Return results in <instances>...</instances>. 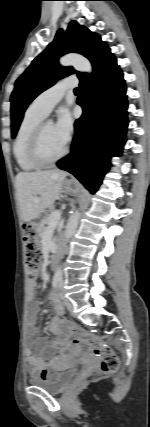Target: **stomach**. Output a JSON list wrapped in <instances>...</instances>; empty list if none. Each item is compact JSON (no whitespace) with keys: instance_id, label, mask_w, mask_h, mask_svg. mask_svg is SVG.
<instances>
[{"instance_id":"stomach-1","label":"stomach","mask_w":150,"mask_h":427,"mask_svg":"<svg viewBox=\"0 0 150 427\" xmlns=\"http://www.w3.org/2000/svg\"><path fill=\"white\" fill-rule=\"evenodd\" d=\"M63 188L67 193H74L78 189V184L74 180H65Z\"/></svg>"}]
</instances>
